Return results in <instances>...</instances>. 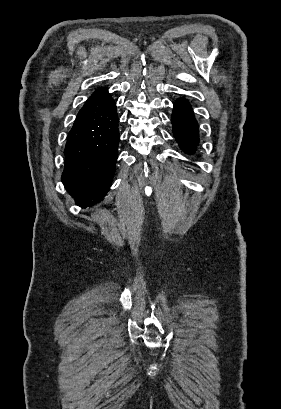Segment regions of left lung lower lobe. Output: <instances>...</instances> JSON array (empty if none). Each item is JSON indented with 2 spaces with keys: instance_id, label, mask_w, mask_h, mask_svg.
Wrapping results in <instances>:
<instances>
[{
  "instance_id": "left-lung-lower-lobe-1",
  "label": "left lung lower lobe",
  "mask_w": 281,
  "mask_h": 409,
  "mask_svg": "<svg viewBox=\"0 0 281 409\" xmlns=\"http://www.w3.org/2000/svg\"><path fill=\"white\" fill-rule=\"evenodd\" d=\"M171 121L180 148L188 154L194 153L199 143V129L193 109L186 99L181 98L174 103Z\"/></svg>"
}]
</instances>
